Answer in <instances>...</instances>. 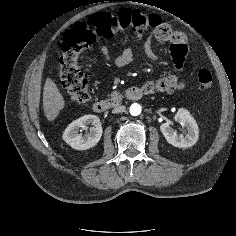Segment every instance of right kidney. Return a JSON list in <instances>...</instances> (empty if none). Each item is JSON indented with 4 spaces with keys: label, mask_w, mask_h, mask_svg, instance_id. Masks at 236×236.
<instances>
[{
    "label": "right kidney",
    "mask_w": 236,
    "mask_h": 236,
    "mask_svg": "<svg viewBox=\"0 0 236 236\" xmlns=\"http://www.w3.org/2000/svg\"><path fill=\"white\" fill-rule=\"evenodd\" d=\"M89 124H92L93 127L88 134H78L81 128H85ZM102 133L103 130L99 117L96 115H85L68 125L63 133V139L73 149L87 150L99 142Z\"/></svg>",
    "instance_id": "obj_1"
}]
</instances>
